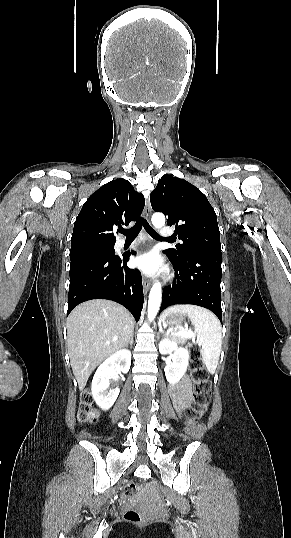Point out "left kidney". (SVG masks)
<instances>
[{"instance_id": "left-kidney-1", "label": "left kidney", "mask_w": 291, "mask_h": 538, "mask_svg": "<svg viewBox=\"0 0 291 538\" xmlns=\"http://www.w3.org/2000/svg\"><path fill=\"white\" fill-rule=\"evenodd\" d=\"M159 352L162 355L171 354L172 362L164 368L166 379L170 384L175 385L185 374L190 355L186 348L178 347L173 340L165 338L159 343Z\"/></svg>"}]
</instances>
